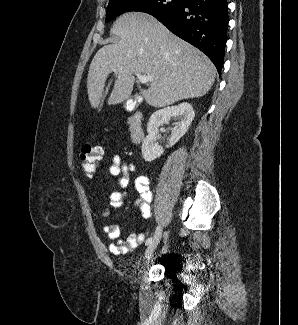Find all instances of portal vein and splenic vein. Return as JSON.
Instances as JSON below:
<instances>
[{
    "label": "portal vein and splenic vein",
    "mask_w": 298,
    "mask_h": 325,
    "mask_svg": "<svg viewBox=\"0 0 298 325\" xmlns=\"http://www.w3.org/2000/svg\"><path fill=\"white\" fill-rule=\"evenodd\" d=\"M134 74H136L137 78H139L142 84H146V82H153L154 80L153 76H147V74H140V72H134Z\"/></svg>",
    "instance_id": "18ae733b"
}]
</instances>
